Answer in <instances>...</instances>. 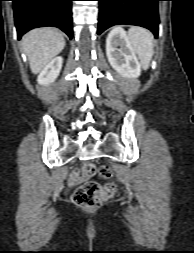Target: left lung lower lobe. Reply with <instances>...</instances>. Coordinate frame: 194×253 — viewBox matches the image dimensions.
Here are the masks:
<instances>
[{
	"label": "left lung lower lobe",
	"instance_id": "obj_1",
	"mask_svg": "<svg viewBox=\"0 0 194 253\" xmlns=\"http://www.w3.org/2000/svg\"><path fill=\"white\" fill-rule=\"evenodd\" d=\"M100 2L97 33L117 24L142 26L158 36V2L162 0H98Z\"/></svg>",
	"mask_w": 194,
	"mask_h": 253
}]
</instances>
